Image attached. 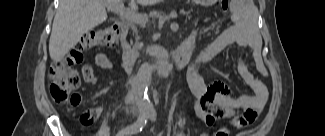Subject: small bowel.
Segmentation results:
<instances>
[{"instance_id": "1", "label": "small bowel", "mask_w": 325, "mask_h": 136, "mask_svg": "<svg viewBox=\"0 0 325 136\" xmlns=\"http://www.w3.org/2000/svg\"><path fill=\"white\" fill-rule=\"evenodd\" d=\"M198 38L195 33L189 39V43H194ZM252 36L244 28L242 22L225 29L214 40L207 44L194 58L187 75V82L191 91L190 97L186 100L190 104L196 114L208 127H213L217 119H229L231 125L236 129L244 128L255 122L258 114L264 108L268 100V89L266 85L256 78L248 69L243 61L242 50L251 47ZM229 46H235L237 58V70L244 82L250 87L253 94H239L230 85L217 82L212 85H206L200 76L201 66L212 56L220 53ZM68 57L65 58L67 68H77L78 64H86L90 60L80 53V45L74 44L73 48H67ZM95 65L103 70L111 71L113 65L106 54L97 53L94 58ZM262 71V68L259 66ZM83 78L87 83H95L96 76L91 65L87 64L83 67ZM79 101L73 105H79ZM103 107H95L85 110L80 121L84 125H88L103 113ZM238 112H240L238 114ZM228 136V129L223 127L211 133L212 136Z\"/></svg>"}]
</instances>
